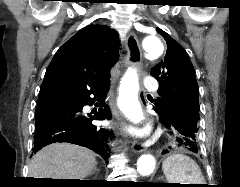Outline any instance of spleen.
<instances>
[{
	"label": "spleen",
	"mask_w": 240,
	"mask_h": 187,
	"mask_svg": "<svg viewBox=\"0 0 240 187\" xmlns=\"http://www.w3.org/2000/svg\"><path fill=\"white\" fill-rule=\"evenodd\" d=\"M162 169L169 183L205 184L198 165L183 154L168 157L163 162Z\"/></svg>",
	"instance_id": "1"
}]
</instances>
